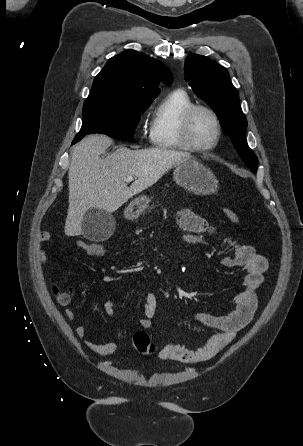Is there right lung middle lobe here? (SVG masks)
Returning a JSON list of instances; mask_svg holds the SVG:
<instances>
[{
	"label": "right lung middle lobe",
	"instance_id": "1",
	"mask_svg": "<svg viewBox=\"0 0 303 446\" xmlns=\"http://www.w3.org/2000/svg\"><path fill=\"white\" fill-rule=\"evenodd\" d=\"M149 106H88L83 107V124L72 144L91 133L106 134L116 139H128L140 121V114Z\"/></svg>",
	"mask_w": 303,
	"mask_h": 446
}]
</instances>
